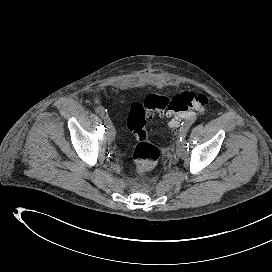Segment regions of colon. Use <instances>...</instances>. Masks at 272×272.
I'll return each instance as SVG.
<instances>
[{"instance_id": "obj_1", "label": "colon", "mask_w": 272, "mask_h": 272, "mask_svg": "<svg viewBox=\"0 0 272 272\" xmlns=\"http://www.w3.org/2000/svg\"><path fill=\"white\" fill-rule=\"evenodd\" d=\"M207 104L208 99L203 93L190 90L181 91L171 97L150 94L141 102H133L127 125L137 140L132 155L137 172L144 175L153 170L160 156L159 148L150 141L146 128L153 113L167 112L172 116L173 126H177L182 118H190L195 112H203Z\"/></svg>"}]
</instances>
